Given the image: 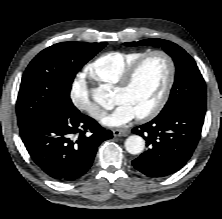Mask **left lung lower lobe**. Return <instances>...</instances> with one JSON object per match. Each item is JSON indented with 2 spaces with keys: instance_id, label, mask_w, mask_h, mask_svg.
Returning <instances> with one entry per match:
<instances>
[{
  "instance_id": "1",
  "label": "left lung lower lobe",
  "mask_w": 222,
  "mask_h": 219,
  "mask_svg": "<svg viewBox=\"0 0 222 219\" xmlns=\"http://www.w3.org/2000/svg\"><path fill=\"white\" fill-rule=\"evenodd\" d=\"M205 110L176 105L132 132L146 140L147 151L132 161L150 177H162L181 169L191 157L201 136Z\"/></svg>"
}]
</instances>
